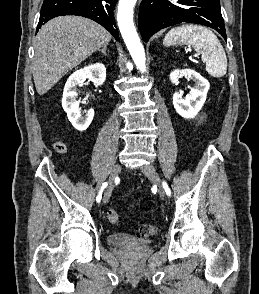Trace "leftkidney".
<instances>
[{
  "label": "left kidney",
  "mask_w": 259,
  "mask_h": 294,
  "mask_svg": "<svg viewBox=\"0 0 259 294\" xmlns=\"http://www.w3.org/2000/svg\"><path fill=\"white\" fill-rule=\"evenodd\" d=\"M182 76L193 80L195 86L185 98H182L179 93L175 92L173 95V105L180 116L192 119L195 118L204 105L210 85L205 78L191 69L174 70L170 73V81L177 84Z\"/></svg>",
  "instance_id": "left-kidney-1"
}]
</instances>
